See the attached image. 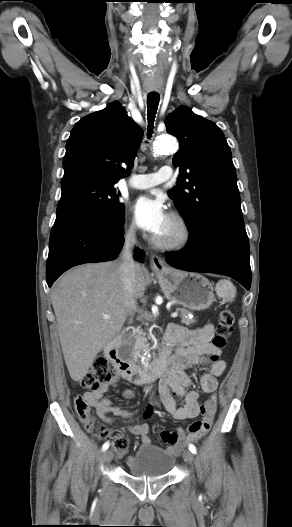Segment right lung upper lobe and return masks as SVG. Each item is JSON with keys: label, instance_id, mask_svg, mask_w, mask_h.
<instances>
[{"label": "right lung upper lobe", "instance_id": "1", "mask_svg": "<svg viewBox=\"0 0 292 527\" xmlns=\"http://www.w3.org/2000/svg\"><path fill=\"white\" fill-rule=\"evenodd\" d=\"M142 135L117 101L83 117L66 143L62 182L81 177L117 183L133 167Z\"/></svg>", "mask_w": 292, "mask_h": 527}]
</instances>
